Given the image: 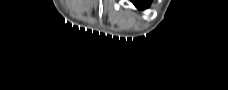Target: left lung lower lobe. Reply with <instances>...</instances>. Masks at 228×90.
<instances>
[{
  "label": "left lung lower lobe",
  "mask_w": 228,
  "mask_h": 90,
  "mask_svg": "<svg viewBox=\"0 0 228 90\" xmlns=\"http://www.w3.org/2000/svg\"><path fill=\"white\" fill-rule=\"evenodd\" d=\"M136 7L142 9L149 5L150 1H133Z\"/></svg>",
  "instance_id": "obj_1"
}]
</instances>
